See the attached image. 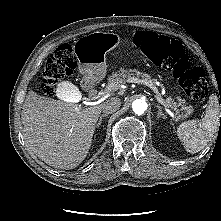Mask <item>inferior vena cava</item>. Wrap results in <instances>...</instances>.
<instances>
[{
  "mask_svg": "<svg viewBox=\"0 0 221 221\" xmlns=\"http://www.w3.org/2000/svg\"><path fill=\"white\" fill-rule=\"evenodd\" d=\"M121 106V100L117 97H113L103 103L102 110L106 114L113 113L117 111Z\"/></svg>",
  "mask_w": 221,
  "mask_h": 221,
  "instance_id": "obj_1",
  "label": "inferior vena cava"
}]
</instances>
